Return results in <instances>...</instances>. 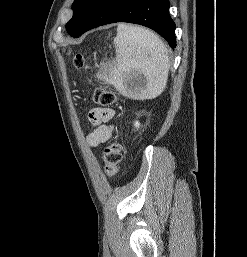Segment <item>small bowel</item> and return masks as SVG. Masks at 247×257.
I'll return each mask as SVG.
<instances>
[{
	"label": "small bowel",
	"mask_w": 247,
	"mask_h": 257,
	"mask_svg": "<svg viewBox=\"0 0 247 257\" xmlns=\"http://www.w3.org/2000/svg\"><path fill=\"white\" fill-rule=\"evenodd\" d=\"M115 111L111 108H94L89 114L90 123L95 129L88 135L87 143L92 147H97L105 143L111 136L113 127L108 123L114 118Z\"/></svg>",
	"instance_id": "small-bowel-1"
}]
</instances>
